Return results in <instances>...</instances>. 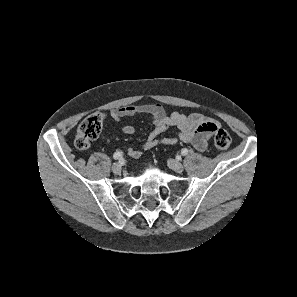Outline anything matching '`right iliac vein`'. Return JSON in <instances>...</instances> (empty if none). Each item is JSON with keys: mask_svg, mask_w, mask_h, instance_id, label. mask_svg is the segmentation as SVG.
Returning <instances> with one entry per match:
<instances>
[{"mask_svg": "<svg viewBox=\"0 0 297 297\" xmlns=\"http://www.w3.org/2000/svg\"><path fill=\"white\" fill-rule=\"evenodd\" d=\"M112 171L115 174H120L122 171V165L120 163H114L112 165Z\"/></svg>", "mask_w": 297, "mask_h": 297, "instance_id": "1", "label": "right iliac vein"}]
</instances>
